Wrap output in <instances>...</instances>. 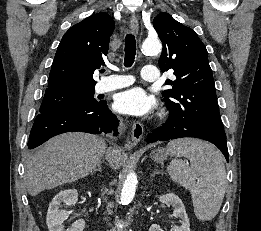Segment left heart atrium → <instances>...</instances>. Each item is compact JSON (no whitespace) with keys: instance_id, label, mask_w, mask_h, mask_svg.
I'll list each match as a JSON object with an SVG mask.
<instances>
[{"instance_id":"1","label":"left heart atrium","mask_w":261,"mask_h":231,"mask_svg":"<svg viewBox=\"0 0 261 231\" xmlns=\"http://www.w3.org/2000/svg\"><path fill=\"white\" fill-rule=\"evenodd\" d=\"M155 106L154 97L148 95L140 87H134L120 93L114 103V107L118 112L136 116L149 114Z\"/></svg>"}]
</instances>
